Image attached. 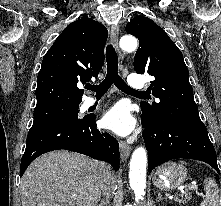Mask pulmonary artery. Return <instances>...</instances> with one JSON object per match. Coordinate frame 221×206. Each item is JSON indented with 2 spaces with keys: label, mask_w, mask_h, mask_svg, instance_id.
Returning <instances> with one entry per match:
<instances>
[{
  "label": "pulmonary artery",
  "mask_w": 221,
  "mask_h": 206,
  "mask_svg": "<svg viewBox=\"0 0 221 206\" xmlns=\"http://www.w3.org/2000/svg\"><path fill=\"white\" fill-rule=\"evenodd\" d=\"M127 83L134 90L142 89L145 86L144 78L137 74H130L127 78ZM95 102V99L89 98L86 102V105L89 107L91 105H94Z\"/></svg>",
  "instance_id": "1"
}]
</instances>
